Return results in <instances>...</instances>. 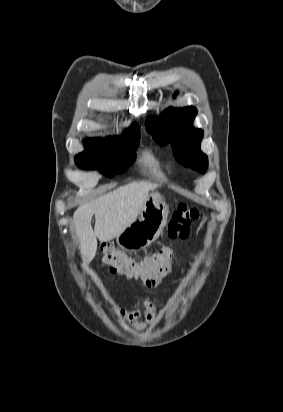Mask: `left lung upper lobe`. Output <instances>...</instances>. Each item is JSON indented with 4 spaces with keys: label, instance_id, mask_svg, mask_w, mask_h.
<instances>
[{
    "label": "left lung upper lobe",
    "instance_id": "obj_1",
    "mask_svg": "<svg viewBox=\"0 0 283 412\" xmlns=\"http://www.w3.org/2000/svg\"><path fill=\"white\" fill-rule=\"evenodd\" d=\"M196 114L194 107H169L156 120L148 119L146 128L161 146L170 142L174 156L181 164L204 173L208 158L200 150L203 131L192 126Z\"/></svg>",
    "mask_w": 283,
    "mask_h": 412
}]
</instances>
